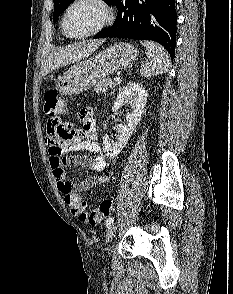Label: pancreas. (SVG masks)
Returning a JSON list of instances; mask_svg holds the SVG:
<instances>
[{
	"mask_svg": "<svg viewBox=\"0 0 233 294\" xmlns=\"http://www.w3.org/2000/svg\"><path fill=\"white\" fill-rule=\"evenodd\" d=\"M117 86V82L112 81L110 78L102 79L94 86L96 93L103 94L108 88H114Z\"/></svg>",
	"mask_w": 233,
	"mask_h": 294,
	"instance_id": "obj_1",
	"label": "pancreas"
}]
</instances>
